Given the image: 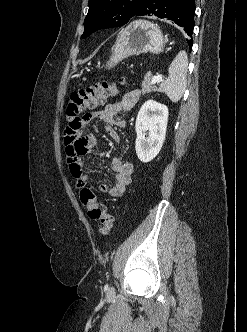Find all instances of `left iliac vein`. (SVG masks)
Masks as SVG:
<instances>
[{"label":"left iliac vein","instance_id":"4c4485c4","mask_svg":"<svg viewBox=\"0 0 247 332\" xmlns=\"http://www.w3.org/2000/svg\"><path fill=\"white\" fill-rule=\"evenodd\" d=\"M112 293H114V289L113 288H109L108 294L111 295Z\"/></svg>","mask_w":247,"mask_h":332}]
</instances>
